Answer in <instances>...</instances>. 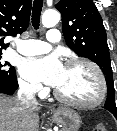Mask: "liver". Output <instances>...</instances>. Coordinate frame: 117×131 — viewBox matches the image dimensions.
I'll use <instances>...</instances> for the list:
<instances>
[{"mask_svg": "<svg viewBox=\"0 0 117 131\" xmlns=\"http://www.w3.org/2000/svg\"><path fill=\"white\" fill-rule=\"evenodd\" d=\"M38 110V106H27L0 94V131H37Z\"/></svg>", "mask_w": 117, "mask_h": 131, "instance_id": "liver-1", "label": "liver"}]
</instances>
